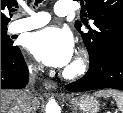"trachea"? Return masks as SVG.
<instances>
[{
	"label": "trachea",
	"instance_id": "3493384b",
	"mask_svg": "<svg viewBox=\"0 0 123 113\" xmlns=\"http://www.w3.org/2000/svg\"><path fill=\"white\" fill-rule=\"evenodd\" d=\"M43 0H36L35 5L37 6V4L41 3Z\"/></svg>",
	"mask_w": 123,
	"mask_h": 113
}]
</instances>
